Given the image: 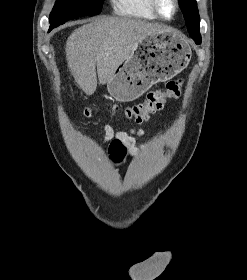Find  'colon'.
I'll return each mask as SVG.
<instances>
[{"label":"colon","mask_w":247,"mask_h":280,"mask_svg":"<svg viewBox=\"0 0 247 280\" xmlns=\"http://www.w3.org/2000/svg\"><path fill=\"white\" fill-rule=\"evenodd\" d=\"M183 80L169 81L162 90L150 91L145 100L123 109L124 115L135 123L146 121L149 116L164 106L166 101L171 98H178L182 92ZM118 110L116 106L112 108ZM86 114H91V109L86 110ZM125 147L118 140H113L109 147V153L114 161H121L125 156Z\"/></svg>","instance_id":"obj_1"}]
</instances>
